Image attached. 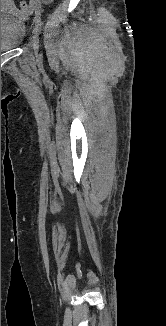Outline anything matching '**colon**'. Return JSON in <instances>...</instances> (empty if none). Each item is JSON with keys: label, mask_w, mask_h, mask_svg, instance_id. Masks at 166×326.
Returning <instances> with one entry per match:
<instances>
[{"label": "colon", "mask_w": 166, "mask_h": 326, "mask_svg": "<svg viewBox=\"0 0 166 326\" xmlns=\"http://www.w3.org/2000/svg\"><path fill=\"white\" fill-rule=\"evenodd\" d=\"M19 7H20V10L22 11L23 14H28L30 12V10H31L30 5L25 1H22L20 3Z\"/></svg>", "instance_id": "colon-1"}]
</instances>
